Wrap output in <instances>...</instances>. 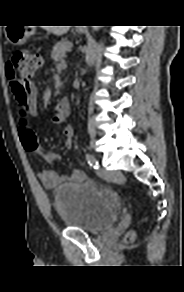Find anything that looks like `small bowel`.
Returning a JSON list of instances; mask_svg holds the SVG:
<instances>
[{
	"instance_id": "obj_1",
	"label": "small bowel",
	"mask_w": 184,
	"mask_h": 292,
	"mask_svg": "<svg viewBox=\"0 0 184 292\" xmlns=\"http://www.w3.org/2000/svg\"><path fill=\"white\" fill-rule=\"evenodd\" d=\"M32 85L33 87H35L34 84ZM13 92L16 97L14 90ZM54 123L62 124L63 120L55 117ZM20 129H21V122L18 129L19 132H20ZM62 135H63V142H64L65 147L70 149L73 145V135H74V130L72 126L70 125L65 126L63 129ZM38 178L45 188L52 189L65 182H72V183L84 182L86 180V175L84 172L77 169L71 170L68 174H65V175H59L58 173L52 170H44L38 174Z\"/></svg>"
}]
</instances>
